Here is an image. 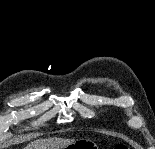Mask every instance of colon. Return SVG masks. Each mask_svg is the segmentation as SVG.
Listing matches in <instances>:
<instances>
[{"mask_svg": "<svg viewBox=\"0 0 155 149\" xmlns=\"http://www.w3.org/2000/svg\"><path fill=\"white\" fill-rule=\"evenodd\" d=\"M115 149H128V147H127L126 144L121 143V144H118V145L115 147Z\"/></svg>", "mask_w": 155, "mask_h": 149, "instance_id": "1", "label": "colon"}]
</instances>
